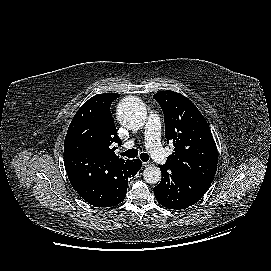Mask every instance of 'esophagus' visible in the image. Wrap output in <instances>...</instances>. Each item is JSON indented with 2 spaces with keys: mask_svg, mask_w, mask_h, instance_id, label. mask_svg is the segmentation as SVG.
<instances>
[{
  "mask_svg": "<svg viewBox=\"0 0 271 271\" xmlns=\"http://www.w3.org/2000/svg\"><path fill=\"white\" fill-rule=\"evenodd\" d=\"M152 162L148 161V162H143V166L147 167V166H151Z\"/></svg>",
  "mask_w": 271,
  "mask_h": 271,
  "instance_id": "34e87169",
  "label": "esophagus"
}]
</instances>
